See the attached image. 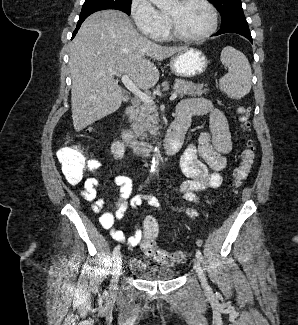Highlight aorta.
I'll return each mask as SVG.
<instances>
[{"instance_id":"1","label":"aorta","mask_w":298,"mask_h":325,"mask_svg":"<svg viewBox=\"0 0 298 325\" xmlns=\"http://www.w3.org/2000/svg\"><path fill=\"white\" fill-rule=\"evenodd\" d=\"M150 2H152V4H155V6H157V8H160V10H168V8L176 6L178 0H150ZM154 152L155 154H153V158L151 160L150 173H157L159 169L160 150H158V148H155Z\"/></svg>"}]
</instances>
